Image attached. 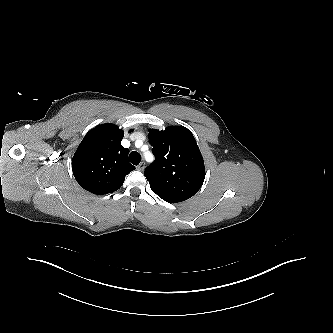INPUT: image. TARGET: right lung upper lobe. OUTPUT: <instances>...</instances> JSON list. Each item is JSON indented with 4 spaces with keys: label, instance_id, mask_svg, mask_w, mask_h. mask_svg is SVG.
Returning <instances> with one entry per match:
<instances>
[{
    "label": "right lung upper lobe",
    "instance_id": "obj_1",
    "mask_svg": "<svg viewBox=\"0 0 333 333\" xmlns=\"http://www.w3.org/2000/svg\"><path fill=\"white\" fill-rule=\"evenodd\" d=\"M123 136L122 129L109 123L85 135L72 159L73 175L82 188L103 195L122 186L125 176L135 169L128 162L129 150L121 145Z\"/></svg>",
    "mask_w": 333,
    "mask_h": 333
}]
</instances>
